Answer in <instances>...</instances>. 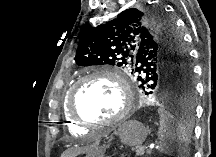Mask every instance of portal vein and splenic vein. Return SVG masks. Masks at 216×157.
Listing matches in <instances>:
<instances>
[{
  "instance_id": "18ae733b",
  "label": "portal vein and splenic vein",
  "mask_w": 216,
  "mask_h": 157,
  "mask_svg": "<svg viewBox=\"0 0 216 157\" xmlns=\"http://www.w3.org/2000/svg\"><path fill=\"white\" fill-rule=\"evenodd\" d=\"M153 148H154L153 145L148 146V147H147V152H151V150H152Z\"/></svg>"
}]
</instances>
